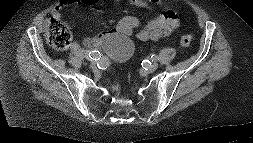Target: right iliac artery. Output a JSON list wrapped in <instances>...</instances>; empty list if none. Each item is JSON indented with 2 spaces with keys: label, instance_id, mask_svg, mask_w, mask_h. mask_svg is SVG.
Masks as SVG:
<instances>
[{
  "label": "right iliac artery",
  "instance_id": "1",
  "mask_svg": "<svg viewBox=\"0 0 253 143\" xmlns=\"http://www.w3.org/2000/svg\"><path fill=\"white\" fill-rule=\"evenodd\" d=\"M89 60H99L101 58V53L99 51L93 50L88 53Z\"/></svg>",
  "mask_w": 253,
  "mask_h": 143
}]
</instances>
